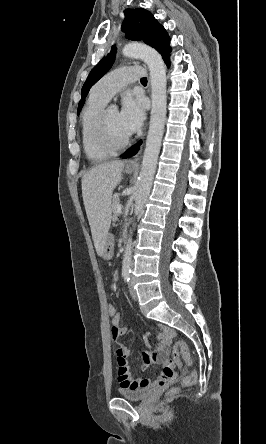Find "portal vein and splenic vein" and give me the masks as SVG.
Instances as JSON below:
<instances>
[{
  "instance_id": "obj_1",
  "label": "portal vein and splenic vein",
  "mask_w": 266,
  "mask_h": 444,
  "mask_svg": "<svg viewBox=\"0 0 266 444\" xmlns=\"http://www.w3.org/2000/svg\"><path fill=\"white\" fill-rule=\"evenodd\" d=\"M121 209H122L121 204H119V205L117 206V214H120V213H121Z\"/></svg>"
}]
</instances>
